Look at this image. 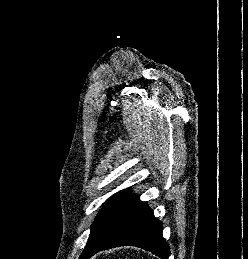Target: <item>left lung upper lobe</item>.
<instances>
[{
  "instance_id": "1",
  "label": "left lung upper lobe",
  "mask_w": 248,
  "mask_h": 259,
  "mask_svg": "<svg viewBox=\"0 0 248 259\" xmlns=\"http://www.w3.org/2000/svg\"><path fill=\"white\" fill-rule=\"evenodd\" d=\"M130 193L128 189L122 190L113 196H111L108 200H106L103 205L105 207L99 213L96 218L94 224L91 227L90 237L107 221H109L113 216H115L118 212L123 210L133 201L137 200L138 197L130 198Z\"/></svg>"
}]
</instances>
